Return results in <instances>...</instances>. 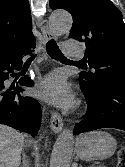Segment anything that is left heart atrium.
<instances>
[{"label": "left heart atrium", "instance_id": "left-heart-atrium-1", "mask_svg": "<svg viewBox=\"0 0 125 167\" xmlns=\"http://www.w3.org/2000/svg\"><path fill=\"white\" fill-rule=\"evenodd\" d=\"M37 96L62 108H69L73 103V95L69 85L58 73L46 76L35 89Z\"/></svg>", "mask_w": 125, "mask_h": 167}]
</instances>
